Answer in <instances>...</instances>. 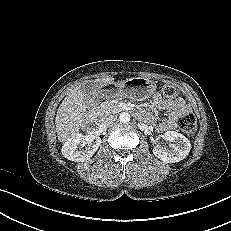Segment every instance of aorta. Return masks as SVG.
<instances>
[{"label": "aorta", "instance_id": "1", "mask_svg": "<svg viewBox=\"0 0 231 231\" xmlns=\"http://www.w3.org/2000/svg\"><path fill=\"white\" fill-rule=\"evenodd\" d=\"M119 119L123 123H128L130 121V115L127 112H122L119 116Z\"/></svg>", "mask_w": 231, "mask_h": 231}]
</instances>
